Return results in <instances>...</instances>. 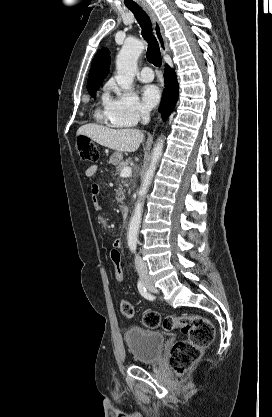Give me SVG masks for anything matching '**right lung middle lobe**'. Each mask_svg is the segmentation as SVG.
<instances>
[{"label": "right lung middle lobe", "mask_w": 272, "mask_h": 417, "mask_svg": "<svg viewBox=\"0 0 272 417\" xmlns=\"http://www.w3.org/2000/svg\"><path fill=\"white\" fill-rule=\"evenodd\" d=\"M97 90H91V91H88L89 92V94L92 96V97H94L96 94H95V92H96Z\"/></svg>", "instance_id": "dd1d6c3e"}]
</instances>
